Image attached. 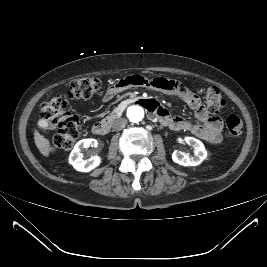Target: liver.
Instances as JSON below:
<instances>
[{
	"label": "liver",
	"mask_w": 267,
	"mask_h": 267,
	"mask_svg": "<svg viewBox=\"0 0 267 267\" xmlns=\"http://www.w3.org/2000/svg\"><path fill=\"white\" fill-rule=\"evenodd\" d=\"M34 141L40 153L45 157H49V154L52 150L50 141L41 135L37 130L34 132Z\"/></svg>",
	"instance_id": "obj_1"
}]
</instances>
